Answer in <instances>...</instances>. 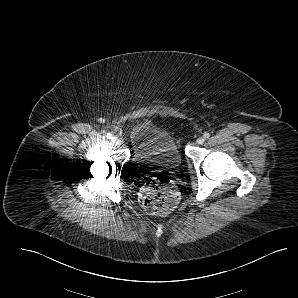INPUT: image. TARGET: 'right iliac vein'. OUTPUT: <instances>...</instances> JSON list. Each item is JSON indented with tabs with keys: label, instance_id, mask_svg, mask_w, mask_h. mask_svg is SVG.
Here are the masks:
<instances>
[{
	"label": "right iliac vein",
	"instance_id": "right-iliac-vein-1",
	"mask_svg": "<svg viewBox=\"0 0 298 298\" xmlns=\"http://www.w3.org/2000/svg\"><path fill=\"white\" fill-rule=\"evenodd\" d=\"M112 141L115 145H120L121 144V140L118 137H113Z\"/></svg>",
	"mask_w": 298,
	"mask_h": 298
}]
</instances>
